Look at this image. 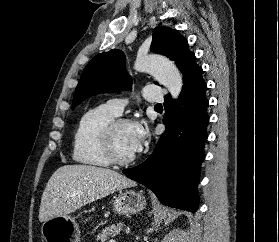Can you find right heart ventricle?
Returning <instances> with one entry per match:
<instances>
[{
  "mask_svg": "<svg viewBox=\"0 0 279 242\" xmlns=\"http://www.w3.org/2000/svg\"><path fill=\"white\" fill-rule=\"evenodd\" d=\"M116 117L106 105L90 109L82 115L73 138L74 161L93 167H108L111 164L101 146L99 133Z\"/></svg>",
  "mask_w": 279,
  "mask_h": 242,
  "instance_id": "1",
  "label": "right heart ventricle"
}]
</instances>
